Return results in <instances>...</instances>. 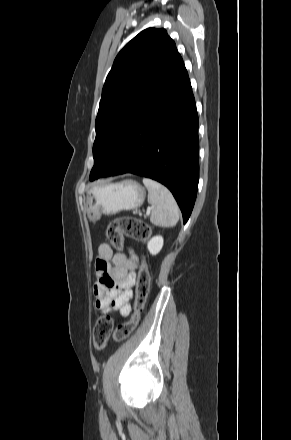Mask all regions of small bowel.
<instances>
[{"mask_svg": "<svg viewBox=\"0 0 291 440\" xmlns=\"http://www.w3.org/2000/svg\"><path fill=\"white\" fill-rule=\"evenodd\" d=\"M137 264L133 253H114L107 243L99 246L94 284L97 309L119 310L122 317L130 314Z\"/></svg>", "mask_w": 291, "mask_h": 440, "instance_id": "obj_1", "label": "small bowel"}]
</instances>
